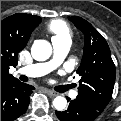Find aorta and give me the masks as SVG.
<instances>
[{
  "label": "aorta",
  "mask_w": 121,
  "mask_h": 121,
  "mask_svg": "<svg viewBox=\"0 0 121 121\" xmlns=\"http://www.w3.org/2000/svg\"><path fill=\"white\" fill-rule=\"evenodd\" d=\"M52 54V46L46 40H36L31 47V55L37 61H45ZM67 100L62 96H57L53 100V106L56 110L62 111L66 108Z\"/></svg>",
  "instance_id": "1"
}]
</instances>
